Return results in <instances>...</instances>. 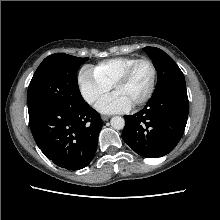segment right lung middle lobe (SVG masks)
Instances as JSON below:
<instances>
[{
  "label": "right lung middle lobe",
  "mask_w": 220,
  "mask_h": 220,
  "mask_svg": "<svg viewBox=\"0 0 220 220\" xmlns=\"http://www.w3.org/2000/svg\"><path fill=\"white\" fill-rule=\"evenodd\" d=\"M87 60L64 53L46 57L28 87L29 114L55 105L69 109L85 105L76 76L77 69Z\"/></svg>",
  "instance_id": "obj_1"
}]
</instances>
